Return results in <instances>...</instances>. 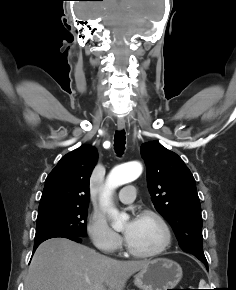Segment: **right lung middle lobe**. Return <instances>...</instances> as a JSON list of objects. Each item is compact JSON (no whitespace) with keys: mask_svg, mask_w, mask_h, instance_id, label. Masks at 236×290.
<instances>
[{"mask_svg":"<svg viewBox=\"0 0 236 290\" xmlns=\"http://www.w3.org/2000/svg\"><path fill=\"white\" fill-rule=\"evenodd\" d=\"M87 207L50 206L39 209L34 243L53 237H86Z\"/></svg>","mask_w":236,"mask_h":290,"instance_id":"1","label":"right lung middle lobe"}]
</instances>
